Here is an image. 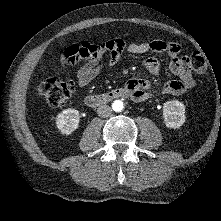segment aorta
Here are the masks:
<instances>
[{
    "mask_svg": "<svg viewBox=\"0 0 221 221\" xmlns=\"http://www.w3.org/2000/svg\"><path fill=\"white\" fill-rule=\"evenodd\" d=\"M112 107H113V110L116 111V112H119L123 109V102L120 101V100H116L113 102L112 104Z\"/></svg>",
    "mask_w": 221,
    "mask_h": 221,
    "instance_id": "aorta-1",
    "label": "aorta"
}]
</instances>
